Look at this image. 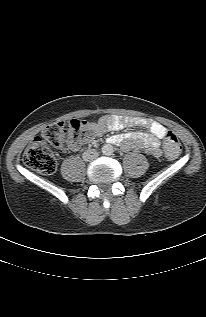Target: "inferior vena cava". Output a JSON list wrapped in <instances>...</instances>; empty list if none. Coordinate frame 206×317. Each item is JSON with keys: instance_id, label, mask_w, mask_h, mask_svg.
<instances>
[{"instance_id": "obj_1", "label": "inferior vena cava", "mask_w": 206, "mask_h": 317, "mask_svg": "<svg viewBox=\"0 0 206 317\" xmlns=\"http://www.w3.org/2000/svg\"><path fill=\"white\" fill-rule=\"evenodd\" d=\"M99 156V153L95 150H87L83 153V159L85 161H92Z\"/></svg>"}]
</instances>
